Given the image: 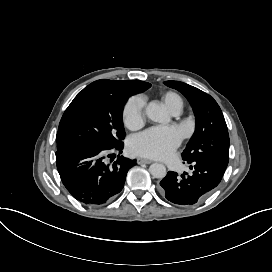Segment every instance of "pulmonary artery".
Listing matches in <instances>:
<instances>
[{"label": "pulmonary artery", "instance_id": "e3ab8cb5", "mask_svg": "<svg viewBox=\"0 0 272 272\" xmlns=\"http://www.w3.org/2000/svg\"><path fill=\"white\" fill-rule=\"evenodd\" d=\"M182 104L177 105V107L174 109L173 114L177 115L181 112Z\"/></svg>", "mask_w": 272, "mask_h": 272}]
</instances>
